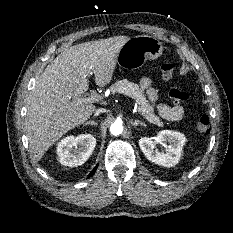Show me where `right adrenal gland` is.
Masks as SVG:
<instances>
[{"instance_id": "2a0ac1e0", "label": "right adrenal gland", "mask_w": 233, "mask_h": 233, "mask_svg": "<svg viewBox=\"0 0 233 233\" xmlns=\"http://www.w3.org/2000/svg\"><path fill=\"white\" fill-rule=\"evenodd\" d=\"M85 125H94V126H96L97 125V122H95V121H87L86 123H85Z\"/></svg>"}]
</instances>
